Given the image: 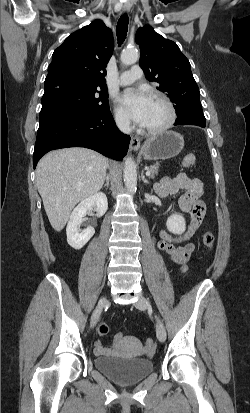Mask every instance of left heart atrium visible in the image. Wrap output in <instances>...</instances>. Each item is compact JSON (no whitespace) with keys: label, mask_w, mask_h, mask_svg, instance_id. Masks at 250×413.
<instances>
[{"label":"left heart atrium","mask_w":250,"mask_h":413,"mask_svg":"<svg viewBox=\"0 0 250 413\" xmlns=\"http://www.w3.org/2000/svg\"><path fill=\"white\" fill-rule=\"evenodd\" d=\"M151 97L142 90L128 89L120 97V103L128 115L138 124L145 123Z\"/></svg>","instance_id":"obj_1"}]
</instances>
